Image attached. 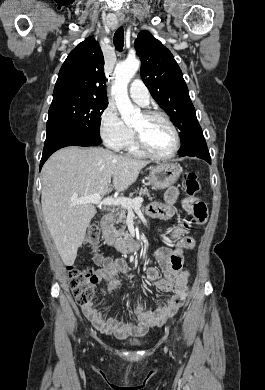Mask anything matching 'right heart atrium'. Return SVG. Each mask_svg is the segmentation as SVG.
<instances>
[{
  "mask_svg": "<svg viewBox=\"0 0 265 390\" xmlns=\"http://www.w3.org/2000/svg\"><path fill=\"white\" fill-rule=\"evenodd\" d=\"M99 132L104 143L114 150H121L132 134L112 105H108L100 116Z\"/></svg>",
  "mask_w": 265,
  "mask_h": 390,
  "instance_id": "d8ad5b80",
  "label": "right heart atrium"
}]
</instances>
